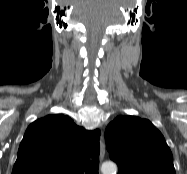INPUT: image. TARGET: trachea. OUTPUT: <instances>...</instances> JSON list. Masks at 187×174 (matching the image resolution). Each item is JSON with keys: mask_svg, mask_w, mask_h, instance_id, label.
I'll use <instances>...</instances> for the list:
<instances>
[{"mask_svg": "<svg viewBox=\"0 0 187 174\" xmlns=\"http://www.w3.org/2000/svg\"><path fill=\"white\" fill-rule=\"evenodd\" d=\"M98 169H99V161L98 160L90 161L86 170V174H98Z\"/></svg>", "mask_w": 187, "mask_h": 174, "instance_id": "obj_1", "label": "trachea"}]
</instances>
